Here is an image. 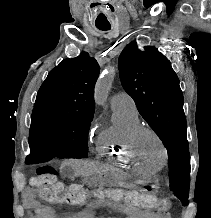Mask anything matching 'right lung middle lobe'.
<instances>
[{
	"instance_id": "obj_1",
	"label": "right lung middle lobe",
	"mask_w": 211,
	"mask_h": 218,
	"mask_svg": "<svg viewBox=\"0 0 211 218\" xmlns=\"http://www.w3.org/2000/svg\"><path fill=\"white\" fill-rule=\"evenodd\" d=\"M92 119V113L34 108L29 140L42 145L71 143L80 148L83 157H87V139Z\"/></svg>"
}]
</instances>
